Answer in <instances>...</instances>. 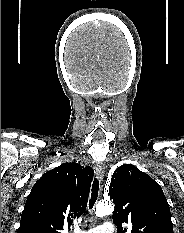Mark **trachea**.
I'll return each instance as SVG.
<instances>
[{"mask_svg": "<svg viewBox=\"0 0 184 233\" xmlns=\"http://www.w3.org/2000/svg\"><path fill=\"white\" fill-rule=\"evenodd\" d=\"M98 190H99V180L97 178L94 179L91 189V198L89 200V209H92L97 197H98Z\"/></svg>", "mask_w": 184, "mask_h": 233, "instance_id": "obj_1", "label": "trachea"}]
</instances>
